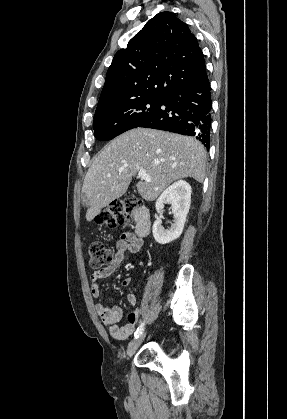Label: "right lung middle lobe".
Here are the masks:
<instances>
[{"label":"right lung middle lobe","instance_id":"dd1d6c3e","mask_svg":"<svg viewBox=\"0 0 287 419\" xmlns=\"http://www.w3.org/2000/svg\"><path fill=\"white\" fill-rule=\"evenodd\" d=\"M163 97L150 96L125 101L95 112L94 135L108 141L123 132L138 127L158 108Z\"/></svg>","mask_w":287,"mask_h":419}]
</instances>
